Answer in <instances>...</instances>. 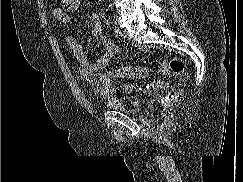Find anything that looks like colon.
<instances>
[{
	"label": "colon",
	"mask_w": 243,
	"mask_h": 182,
	"mask_svg": "<svg viewBox=\"0 0 243 182\" xmlns=\"http://www.w3.org/2000/svg\"><path fill=\"white\" fill-rule=\"evenodd\" d=\"M159 69L163 73L180 75L185 69V64L180 58L172 57L161 60ZM147 73L148 71L140 66H125L111 70L110 76L113 78L136 79L145 77ZM179 94L178 90H172L166 95L161 96L160 100L167 107L179 97Z\"/></svg>",
	"instance_id": "5ec220e1"
}]
</instances>
